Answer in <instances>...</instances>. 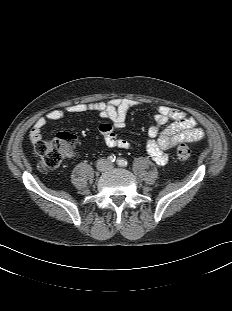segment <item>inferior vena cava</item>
<instances>
[{"mask_svg":"<svg viewBox=\"0 0 232 311\" xmlns=\"http://www.w3.org/2000/svg\"><path fill=\"white\" fill-rule=\"evenodd\" d=\"M110 167V163L105 159H101L97 163L98 170L104 171Z\"/></svg>","mask_w":232,"mask_h":311,"instance_id":"602c4592","label":"inferior vena cava"}]
</instances>
